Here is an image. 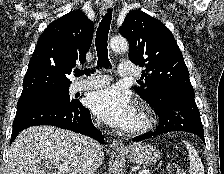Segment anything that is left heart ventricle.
Masks as SVG:
<instances>
[{
  "label": "left heart ventricle",
  "instance_id": "b2bd125f",
  "mask_svg": "<svg viewBox=\"0 0 224 174\" xmlns=\"http://www.w3.org/2000/svg\"><path fill=\"white\" fill-rule=\"evenodd\" d=\"M138 122H139V116H138V113L136 112V115L128 128L136 126L138 124Z\"/></svg>",
  "mask_w": 224,
  "mask_h": 174
}]
</instances>
